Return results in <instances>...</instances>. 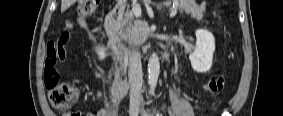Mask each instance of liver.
Segmentation results:
<instances>
[{
  "label": "liver",
  "mask_w": 283,
  "mask_h": 116,
  "mask_svg": "<svg viewBox=\"0 0 283 116\" xmlns=\"http://www.w3.org/2000/svg\"><path fill=\"white\" fill-rule=\"evenodd\" d=\"M76 0H62L61 1V12L67 10L71 5H73Z\"/></svg>",
  "instance_id": "obj_1"
}]
</instances>
